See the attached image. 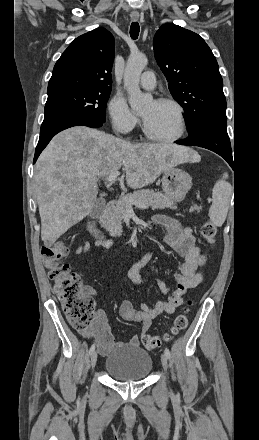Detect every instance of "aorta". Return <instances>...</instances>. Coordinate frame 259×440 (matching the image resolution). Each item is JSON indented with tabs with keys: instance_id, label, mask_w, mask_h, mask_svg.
Wrapping results in <instances>:
<instances>
[{
	"instance_id": "1",
	"label": "aorta",
	"mask_w": 259,
	"mask_h": 440,
	"mask_svg": "<svg viewBox=\"0 0 259 440\" xmlns=\"http://www.w3.org/2000/svg\"><path fill=\"white\" fill-rule=\"evenodd\" d=\"M147 63L148 59L144 54H131L125 67L124 86L128 93L129 104L134 111L143 110L153 101L152 95L143 93L139 87L140 75Z\"/></svg>"
}]
</instances>
